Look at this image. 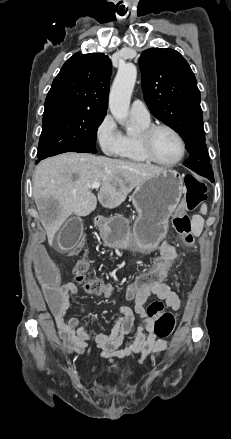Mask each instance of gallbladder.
<instances>
[{"instance_id": "bac80fb5", "label": "gallbladder", "mask_w": 231, "mask_h": 439, "mask_svg": "<svg viewBox=\"0 0 231 439\" xmlns=\"http://www.w3.org/2000/svg\"><path fill=\"white\" fill-rule=\"evenodd\" d=\"M82 232L83 223L81 218L73 217L69 219L58 234L57 243L55 244L56 249L60 252L73 249Z\"/></svg>"}]
</instances>
